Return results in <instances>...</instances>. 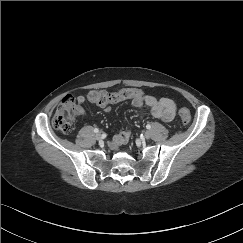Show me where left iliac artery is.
Listing matches in <instances>:
<instances>
[{
  "label": "left iliac artery",
  "instance_id": "44dca946",
  "mask_svg": "<svg viewBox=\"0 0 243 243\" xmlns=\"http://www.w3.org/2000/svg\"><path fill=\"white\" fill-rule=\"evenodd\" d=\"M146 128H147V129H150V128H151V125H150V124H147V125H146Z\"/></svg>",
  "mask_w": 243,
  "mask_h": 243
}]
</instances>
